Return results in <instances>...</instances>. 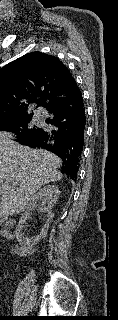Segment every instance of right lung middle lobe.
Returning <instances> with one entry per match:
<instances>
[{
	"label": "right lung middle lobe",
	"mask_w": 118,
	"mask_h": 320,
	"mask_svg": "<svg viewBox=\"0 0 118 320\" xmlns=\"http://www.w3.org/2000/svg\"><path fill=\"white\" fill-rule=\"evenodd\" d=\"M32 117H6L0 119V131L14 133L17 140L36 134L40 128L31 123Z\"/></svg>",
	"instance_id": "1"
}]
</instances>
